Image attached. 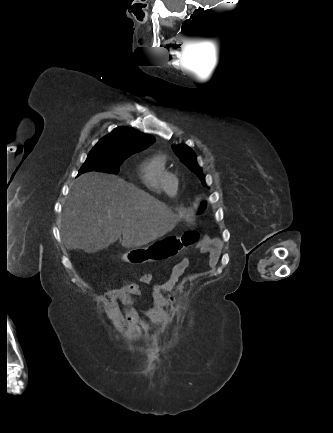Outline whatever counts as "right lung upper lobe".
Wrapping results in <instances>:
<instances>
[{"mask_svg":"<svg viewBox=\"0 0 333 433\" xmlns=\"http://www.w3.org/2000/svg\"><path fill=\"white\" fill-rule=\"evenodd\" d=\"M155 141L151 135H146L131 127H117L110 134L99 140L97 148H106L113 152L134 154L146 149Z\"/></svg>","mask_w":333,"mask_h":433,"instance_id":"right-lung-upper-lobe-1","label":"right lung upper lobe"}]
</instances>
